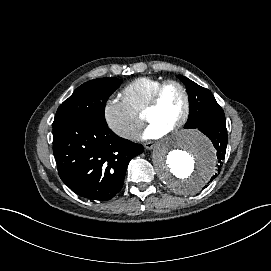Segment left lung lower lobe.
I'll list each match as a JSON object with an SVG mask.
<instances>
[{"label": "left lung lower lobe", "instance_id": "1", "mask_svg": "<svg viewBox=\"0 0 271 271\" xmlns=\"http://www.w3.org/2000/svg\"><path fill=\"white\" fill-rule=\"evenodd\" d=\"M203 134L209 137L217 150L216 161H217V173L213 175L208 183L213 181L219 174L226 153V147L228 142L226 119L222 108L215 109L210 112L198 126ZM206 187V186H205Z\"/></svg>", "mask_w": 271, "mask_h": 271}]
</instances>
